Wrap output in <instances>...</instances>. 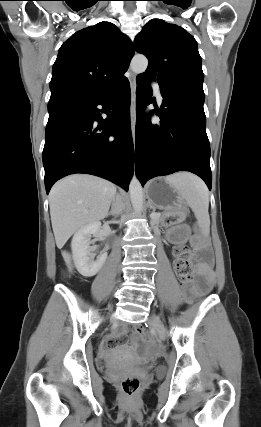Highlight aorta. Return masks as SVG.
Returning <instances> with one entry per match:
<instances>
[{"label": "aorta", "mask_w": 261, "mask_h": 427, "mask_svg": "<svg viewBox=\"0 0 261 427\" xmlns=\"http://www.w3.org/2000/svg\"><path fill=\"white\" fill-rule=\"evenodd\" d=\"M148 66V59L141 54L132 58L131 69L135 74L144 73ZM130 199L135 212L141 213L143 210V189L139 179L134 175L129 185Z\"/></svg>", "instance_id": "obj_1"}]
</instances>
